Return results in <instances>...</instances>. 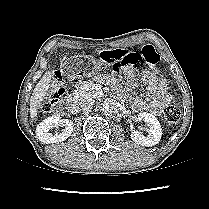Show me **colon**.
<instances>
[{
  "mask_svg": "<svg viewBox=\"0 0 209 209\" xmlns=\"http://www.w3.org/2000/svg\"><path fill=\"white\" fill-rule=\"evenodd\" d=\"M100 58L110 63L114 70L125 69L129 64L144 63L149 66H156L160 62V55L152 45H144L139 51H102ZM53 83L52 91L46 95L43 102V108L46 110L54 106L63 93L64 79L59 71L54 73ZM180 116L179 108L172 105L165 109L163 119L167 125L173 126L179 122Z\"/></svg>",
  "mask_w": 209,
  "mask_h": 209,
  "instance_id": "5ec220e1",
  "label": "colon"
}]
</instances>
